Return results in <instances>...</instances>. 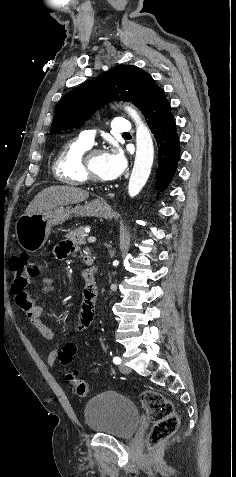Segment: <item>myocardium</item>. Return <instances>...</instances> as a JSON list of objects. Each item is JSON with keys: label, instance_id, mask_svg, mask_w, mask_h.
Listing matches in <instances>:
<instances>
[{"label": "myocardium", "instance_id": "1", "mask_svg": "<svg viewBox=\"0 0 236 477\" xmlns=\"http://www.w3.org/2000/svg\"><path fill=\"white\" fill-rule=\"evenodd\" d=\"M102 153L103 152L100 149H92V150L88 151L85 156H83L82 170H83V174H84L86 182H89V183L94 184V185H105V184L109 183L108 180H104V179H101V178H98V177L94 176L93 173L90 170V167H89L90 158L94 155H98V154H102Z\"/></svg>", "mask_w": 236, "mask_h": 477}]
</instances>
